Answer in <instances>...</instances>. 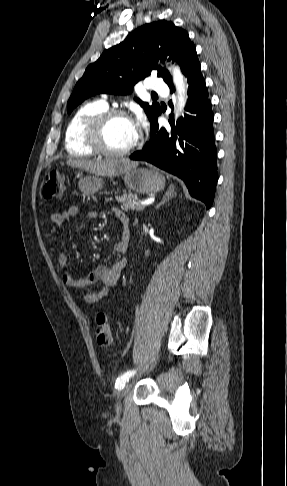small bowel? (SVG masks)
I'll return each mask as SVG.
<instances>
[{
  "instance_id": "small-bowel-1",
  "label": "small bowel",
  "mask_w": 287,
  "mask_h": 486,
  "mask_svg": "<svg viewBox=\"0 0 287 486\" xmlns=\"http://www.w3.org/2000/svg\"><path fill=\"white\" fill-rule=\"evenodd\" d=\"M113 212L122 223L123 227L120 239L115 245V250L121 256L110 266L100 265L87 276L76 279L70 272L69 258L66 252L61 251L58 255L63 286L73 290L92 288L90 291L81 293L80 295L81 299L89 304L98 302L100 299L108 296L113 291L127 263V259L123 255H125L128 251L130 242V229L128 226L129 219L124 212L117 208L113 209ZM79 214L80 209L77 206H71L67 210L60 213H52L49 216V221L56 226H62L66 222H69L73 218L77 217ZM86 215L89 219H96L99 216L98 212L96 211H88Z\"/></svg>"
}]
</instances>
